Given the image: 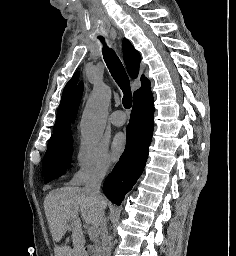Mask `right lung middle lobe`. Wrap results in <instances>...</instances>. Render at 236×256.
<instances>
[{"label":"right lung middle lobe","instance_id":"right-lung-middle-lobe-1","mask_svg":"<svg viewBox=\"0 0 236 256\" xmlns=\"http://www.w3.org/2000/svg\"><path fill=\"white\" fill-rule=\"evenodd\" d=\"M73 152V139L71 134L48 143L44 157V181H49L61 176L65 168L70 166Z\"/></svg>","mask_w":236,"mask_h":256}]
</instances>
